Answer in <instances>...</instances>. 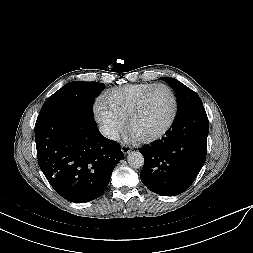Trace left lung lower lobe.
Returning <instances> with one entry per match:
<instances>
[{
    "instance_id": "0a47b994",
    "label": "left lung lower lobe",
    "mask_w": 253,
    "mask_h": 253,
    "mask_svg": "<svg viewBox=\"0 0 253 253\" xmlns=\"http://www.w3.org/2000/svg\"><path fill=\"white\" fill-rule=\"evenodd\" d=\"M208 132L203 105L177 114L172 128L160 142L139 149L145 158L140 173L143 184L164 196L184 192L206 160Z\"/></svg>"
}]
</instances>
